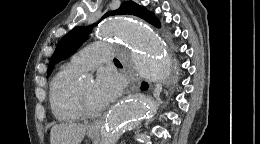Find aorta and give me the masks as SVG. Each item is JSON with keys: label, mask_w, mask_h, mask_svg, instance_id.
I'll list each match as a JSON object with an SVG mask.
<instances>
[{"label": "aorta", "mask_w": 260, "mask_h": 144, "mask_svg": "<svg viewBox=\"0 0 260 144\" xmlns=\"http://www.w3.org/2000/svg\"><path fill=\"white\" fill-rule=\"evenodd\" d=\"M99 35L126 45L127 48L120 49L119 56L142 78L155 82L167 77L166 46L144 21L129 17L110 18L100 26ZM154 104V100L144 94L119 102L108 115L100 144H115L125 130L137 127L151 116Z\"/></svg>", "instance_id": "obj_1"}]
</instances>
